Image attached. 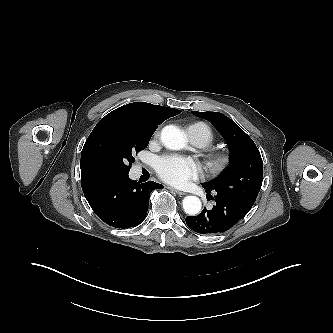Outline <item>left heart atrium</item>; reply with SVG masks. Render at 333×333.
I'll return each mask as SVG.
<instances>
[{
    "label": "left heart atrium",
    "instance_id": "1",
    "mask_svg": "<svg viewBox=\"0 0 333 333\" xmlns=\"http://www.w3.org/2000/svg\"><path fill=\"white\" fill-rule=\"evenodd\" d=\"M156 171L163 181L181 187L197 176L198 167L190 158L171 155L157 161Z\"/></svg>",
    "mask_w": 333,
    "mask_h": 333
}]
</instances>
